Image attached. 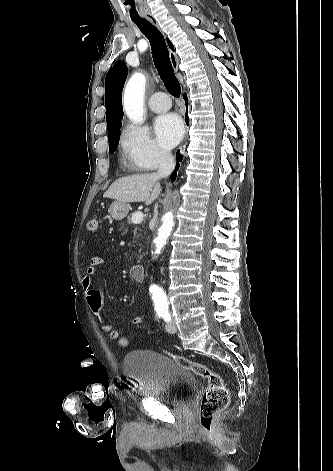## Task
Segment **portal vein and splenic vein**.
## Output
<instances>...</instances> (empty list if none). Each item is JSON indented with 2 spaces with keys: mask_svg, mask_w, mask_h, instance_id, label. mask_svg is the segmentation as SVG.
Masks as SVG:
<instances>
[{
  "mask_svg": "<svg viewBox=\"0 0 333 471\" xmlns=\"http://www.w3.org/2000/svg\"><path fill=\"white\" fill-rule=\"evenodd\" d=\"M143 213L142 212H135L133 215H132V218H131V221L134 223V224H139L142 222L143 220Z\"/></svg>",
  "mask_w": 333,
  "mask_h": 471,
  "instance_id": "18ae733b",
  "label": "portal vein and splenic vein"
}]
</instances>
